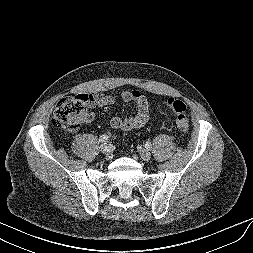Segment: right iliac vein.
<instances>
[{
  "mask_svg": "<svg viewBox=\"0 0 253 253\" xmlns=\"http://www.w3.org/2000/svg\"><path fill=\"white\" fill-rule=\"evenodd\" d=\"M100 150L104 153L107 157L111 156V145L109 143H104L100 146Z\"/></svg>",
  "mask_w": 253,
  "mask_h": 253,
  "instance_id": "63e3f726",
  "label": "right iliac vein"
}]
</instances>
